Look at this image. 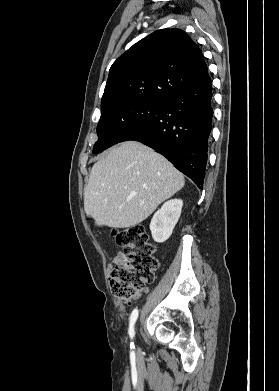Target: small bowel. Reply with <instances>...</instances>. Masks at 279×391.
<instances>
[{
    "label": "small bowel",
    "instance_id": "1",
    "mask_svg": "<svg viewBox=\"0 0 279 391\" xmlns=\"http://www.w3.org/2000/svg\"><path fill=\"white\" fill-rule=\"evenodd\" d=\"M121 255H122V254L119 253V255H118L117 257L114 258V260H113V265H114V266H115L116 264L119 263L120 258H121Z\"/></svg>",
    "mask_w": 279,
    "mask_h": 391
}]
</instances>
